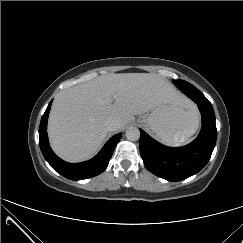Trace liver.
<instances>
[{
	"label": "liver",
	"mask_w": 243,
	"mask_h": 243,
	"mask_svg": "<svg viewBox=\"0 0 243 243\" xmlns=\"http://www.w3.org/2000/svg\"><path fill=\"white\" fill-rule=\"evenodd\" d=\"M162 103L188 106L190 101L155 73L107 74L75 85L53 101L48 121L51 147L69 162L89 159L109 132L107 120L117 119L122 129L135 115Z\"/></svg>",
	"instance_id": "obj_1"
}]
</instances>
